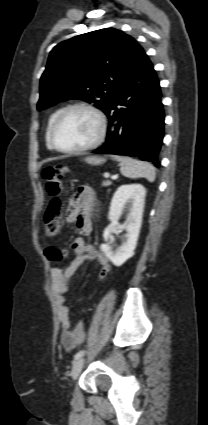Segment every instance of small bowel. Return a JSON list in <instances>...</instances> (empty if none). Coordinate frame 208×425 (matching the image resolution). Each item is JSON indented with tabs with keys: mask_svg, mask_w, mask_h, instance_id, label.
I'll list each match as a JSON object with an SVG mask.
<instances>
[{
	"mask_svg": "<svg viewBox=\"0 0 208 425\" xmlns=\"http://www.w3.org/2000/svg\"><path fill=\"white\" fill-rule=\"evenodd\" d=\"M95 195L88 186H80L71 196L66 220L75 223L80 234L71 244L75 258L71 263L61 268L59 264L52 265L50 270L51 290L58 306V318L61 325V343L66 350H72L80 345L85 338L82 324L72 327L69 319V309L64 295L69 290V283L78 268L88 260L96 261L99 267L109 266L107 257L85 240L95 227L94 216ZM68 253V251H66Z\"/></svg>",
	"mask_w": 208,
	"mask_h": 425,
	"instance_id": "1",
	"label": "small bowel"
}]
</instances>
